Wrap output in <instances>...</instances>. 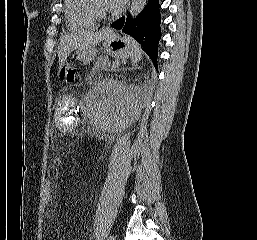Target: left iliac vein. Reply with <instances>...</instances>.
Returning <instances> with one entry per match:
<instances>
[{"mask_svg":"<svg viewBox=\"0 0 257 240\" xmlns=\"http://www.w3.org/2000/svg\"><path fill=\"white\" fill-rule=\"evenodd\" d=\"M107 240H116V237L114 235H110L109 237H107Z\"/></svg>","mask_w":257,"mask_h":240,"instance_id":"1","label":"left iliac vein"}]
</instances>
